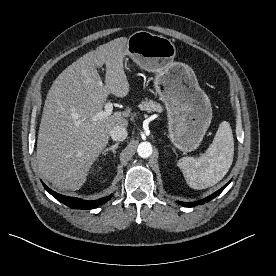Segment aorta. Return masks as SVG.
Returning a JSON list of instances; mask_svg holds the SVG:
<instances>
[{"mask_svg":"<svg viewBox=\"0 0 276 276\" xmlns=\"http://www.w3.org/2000/svg\"><path fill=\"white\" fill-rule=\"evenodd\" d=\"M137 152L141 158H148L153 152L152 145L149 142H141L138 145Z\"/></svg>","mask_w":276,"mask_h":276,"instance_id":"aorta-1","label":"aorta"}]
</instances>
